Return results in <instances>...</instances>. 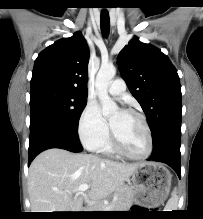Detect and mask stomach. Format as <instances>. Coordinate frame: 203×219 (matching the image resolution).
Segmentation results:
<instances>
[{"label":"stomach","instance_id":"0dacf381","mask_svg":"<svg viewBox=\"0 0 203 219\" xmlns=\"http://www.w3.org/2000/svg\"><path fill=\"white\" fill-rule=\"evenodd\" d=\"M172 175L160 163L147 162L138 165L132 174L134 189L133 201L156 207L167 198L171 187Z\"/></svg>","mask_w":203,"mask_h":219}]
</instances>
